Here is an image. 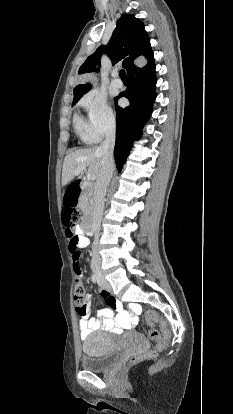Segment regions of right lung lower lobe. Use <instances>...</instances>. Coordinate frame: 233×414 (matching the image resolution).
<instances>
[{
    "mask_svg": "<svg viewBox=\"0 0 233 414\" xmlns=\"http://www.w3.org/2000/svg\"><path fill=\"white\" fill-rule=\"evenodd\" d=\"M129 81L127 90L115 98L117 116L114 158L119 171L126 161L133 141L140 138L142 128L152 113V105L156 98L155 66L129 77ZM120 97H126L130 105L125 108L119 107L117 100Z\"/></svg>",
    "mask_w": 233,
    "mask_h": 414,
    "instance_id": "right-lung-lower-lobe-1",
    "label": "right lung lower lobe"
}]
</instances>
